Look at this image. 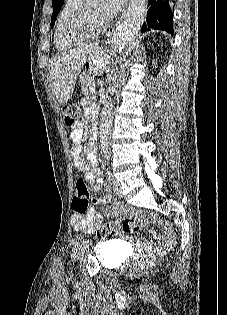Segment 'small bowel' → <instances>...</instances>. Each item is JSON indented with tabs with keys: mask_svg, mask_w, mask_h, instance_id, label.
Here are the masks:
<instances>
[{
	"mask_svg": "<svg viewBox=\"0 0 227 315\" xmlns=\"http://www.w3.org/2000/svg\"><path fill=\"white\" fill-rule=\"evenodd\" d=\"M71 139L74 143L70 150L74 167L84 174L85 181L89 183L94 190H100L103 186V178L97 166L96 151L92 144H90L87 149V159L82 158L83 129L80 124L72 128ZM104 200L108 215L120 218L124 214V207L112 203L109 193H105ZM102 220L103 216L97 213L95 208H90L83 215L73 214L71 226L76 231L92 233L95 226ZM161 226L165 231V235L150 246V250L152 251L163 250L169 247L174 241V234L169 224L161 222Z\"/></svg>",
	"mask_w": 227,
	"mask_h": 315,
	"instance_id": "c3829d8e",
	"label": "small bowel"
}]
</instances>
